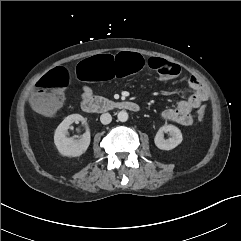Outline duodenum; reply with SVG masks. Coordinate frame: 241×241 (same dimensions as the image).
<instances>
[{"label":"duodenum","instance_id":"1","mask_svg":"<svg viewBox=\"0 0 241 241\" xmlns=\"http://www.w3.org/2000/svg\"><path fill=\"white\" fill-rule=\"evenodd\" d=\"M81 108L86 113H103L113 110H128L136 112L139 110V106L135 102L131 101H109L99 97H90L83 99Z\"/></svg>","mask_w":241,"mask_h":241}]
</instances>
